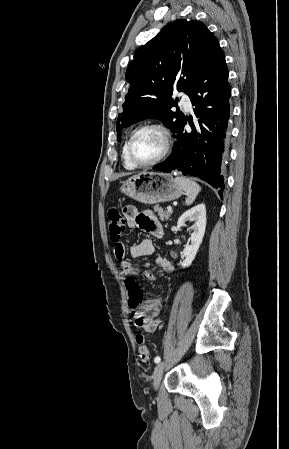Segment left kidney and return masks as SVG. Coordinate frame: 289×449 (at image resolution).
Instances as JSON below:
<instances>
[{"label": "left kidney", "mask_w": 289, "mask_h": 449, "mask_svg": "<svg viewBox=\"0 0 289 449\" xmlns=\"http://www.w3.org/2000/svg\"><path fill=\"white\" fill-rule=\"evenodd\" d=\"M195 221L193 228V233L191 234V243L187 245L183 250L184 260L181 264L183 268L189 267L194 261L199 247L202 243L205 229H206V207L205 204H198L193 208L187 210L178 219L177 226H185V222Z\"/></svg>", "instance_id": "5707ae66"}]
</instances>
